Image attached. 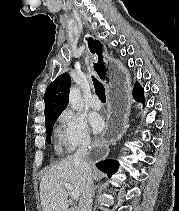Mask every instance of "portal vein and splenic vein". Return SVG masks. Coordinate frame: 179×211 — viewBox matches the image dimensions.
Returning <instances> with one entry per match:
<instances>
[{"label": "portal vein and splenic vein", "mask_w": 179, "mask_h": 211, "mask_svg": "<svg viewBox=\"0 0 179 211\" xmlns=\"http://www.w3.org/2000/svg\"><path fill=\"white\" fill-rule=\"evenodd\" d=\"M65 188L69 191V194L72 198L77 199L79 198V191L74 189L70 184H65Z\"/></svg>", "instance_id": "portal-vein-and-splenic-vein-1"}]
</instances>
